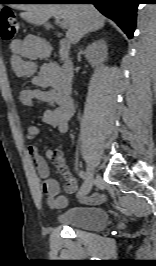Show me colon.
I'll return each mask as SVG.
<instances>
[{
  "label": "colon",
  "mask_w": 156,
  "mask_h": 266,
  "mask_svg": "<svg viewBox=\"0 0 156 266\" xmlns=\"http://www.w3.org/2000/svg\"><path fill=\"white\" fill-rule=\"evenodd\" d=\"M19 29L16 15L10 9H3L0 13V36L4 40H12Z\"/></svg>",
  "instance_id": "colon-1"
}]
</instances>
